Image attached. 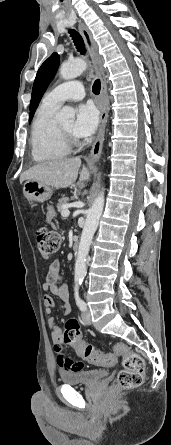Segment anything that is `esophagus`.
Here are the masks:
<instances>
[{
  "label": "esophagus",
  "mask_w": 171,
  "mask_h": 445,
  "mask_svg": "<svg viewBox=\"0 0 171 445\" xmlns=\"http://www.w3.org/2000/svg\"><path fill=\"white\" fill-rule=\"evenodd\" d=\"M79 30L82 34V37L85 41V44L88 48V51L90 53V56L93 61V66L100 77L101 80V93H100V101H99V108L101 111L100 115V124H99V131L97 138L95 142L92 145L89 159H88V165L92 166L100 157L103 142H104V135H105V127L108 119V112H109V96L107 93V82L106 77L104 73L103 68V60L100 54L98 53V47L95 43V41L92 38V35L88 28L82 23L78 22Z\"/></svg>",
  "instance_id": "1"
}]
</instances>
